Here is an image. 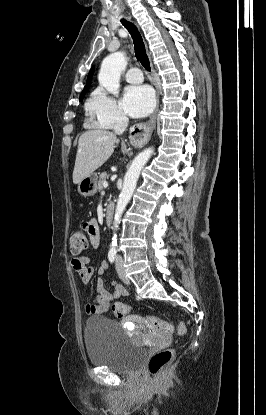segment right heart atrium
I'll return each instance as SVG.
<instances>
[{
    "label": "right heart atrium",
    "instance_id": "obj_1",
    "mask_svg": "<svg viewBox=\"0 0 266 415\" xmlns=\"http://www.w3.org/2000/svg\"><path fill=\"white\" fill-rule=\"evenodd\" d=\"M86 111L92 123L100 128H112L127 122V116L116 99L102 88L91 94Z\"/></svg>",
    "mask_w": 266,
    "mask_h": 415
}]
</instances>
